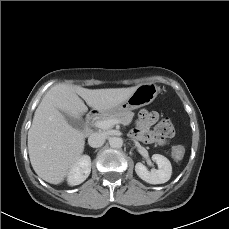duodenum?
<instances>
[{
  "mask_svg": "<svg viewBox=\"0 0 229 229\" xmlns=\"http://www.w3.org/2000/svg\"><path fill=\"white\" fill-rule=\"evenodd\" d=\"M96 118H97V115L95 114H89L86 117V124H87L86 133L87 134H90L92 132V128L90 127V125Z\"/></svg>",
  "mask_w": 229,
  "mask_h": 229,
  "instance_id": "duodenum-1",
  "label": "duodenum"
}]
</instances>
